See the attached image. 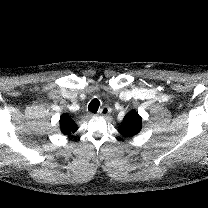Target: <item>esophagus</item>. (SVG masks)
Wrapping results in <instances>:
<instances>
[{
	"label": "esophagus",
	"mask_w": 208,
	"mask_h": 208,
	"mask_svg": "<svg viewBox=\"0 0 208 208\" xmlns=\"http://www.w3.org/2000/svg\"><path fill=\"white\" fill-rule=\"evenodd\" d=\"M111 113V108L109 106H103L99 111L98 115L108 116Z\"/></svg>",
	"instance_id": "1"
}]
</instances>
